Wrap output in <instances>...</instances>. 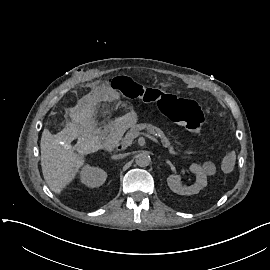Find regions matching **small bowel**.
I'll list each match as a JSON object with an SVG mask.
<instances>
[{"instance_id": "small-bowel-1", "label": "small bowel", "mask_w": 270, "mask_h": 270, "mask_svg": "<svg viewBox=\"0 0 270 270\" xmlns=\"http://www.w3.org/2000/svg\"><path fill=\"white\" fill-rule=\"evenodd\" d=\"M96 91L98 94H100L101 96H103L105 98H111V99L116 98V95L112 91H110V89H108V88L100 87Z\"/></svg>"}]
</instances>
